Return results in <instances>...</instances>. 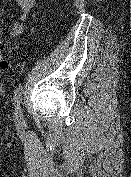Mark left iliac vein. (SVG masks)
<instances>
[{"label":"left iliac vein","mask_w":131,"mask_h":177,"mask_svg":"<svg viewBox=\"0 0 131 177\" xmlns=\"http://www.w3.org/2000/svg\"><path fill=\"white\" fill-rule=\"evenodd\" d=\"M15 115H16V118H17V119L20 117V111H19L18 109H16Z\"/></svg>","instance_id":"4c4485c4"}]
</instances>
